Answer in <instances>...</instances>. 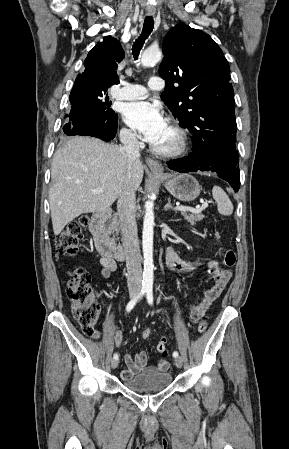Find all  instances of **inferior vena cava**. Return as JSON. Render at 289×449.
<instances>
[{"instance_id":"obj_1","label":"inferior vena cava","mask_w":289,"mask_h":449,"mask_svg":"<svg viewBox=\"0 0 289 449\" xmlns=\"http://www.w3.org/2000/svg\"><path fill=\"white\" fill-rule=\"evenodd\" d=\"M123 147L121 151L127 159L130 169L132 164L140 158L139 142L133 133L121 136ZM130 172L127 174L126 182L117 201L122 243L126 258L127 283L129 292L141 290V256L137 249V225L133 216V208L136 203L135 192L129 186Z\"/></svg>"}]
</instances>
